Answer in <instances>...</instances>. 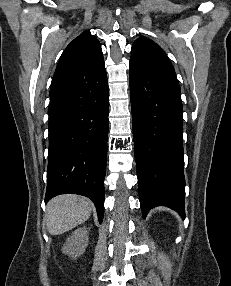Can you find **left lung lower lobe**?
Returning <instances> with one entry per match:
<instances>
[{"mask_svg":"<svg viewBox=\"0 0 231 286\" xmlns=\"http://www.w3.org/2000/svg\"><path fill=\"white\" fill-rule=\"evenodd\" d=\"M140 205H164L185 216L183 111L176 76L129 62Z\"/></svg>","mask_w":231,"mask_h":286,"instance_id":"obj_1","label":"left lung lower lobe"}]
</instances>
